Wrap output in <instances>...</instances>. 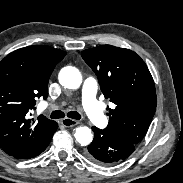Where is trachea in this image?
Instances as JSON below:
<instances>
[{"mask_svg":"<svg viewBox=\"0 0 183 183\" xmlns=\"http://www.w3.org/2000/svg\"><path fill=\"white\" fill-rule=\"evenodd\" d=\"M50 117L53 119L64 118L65 113L63 111H60V110H55L50 114ZM67 117H69L71 119H76V120L81 119V115L76 111L68 112Z\"/></svg>","mask_w":183,"mask_h":183,"instance_id":"3493384b","label":"trachea"}]
</instances>
